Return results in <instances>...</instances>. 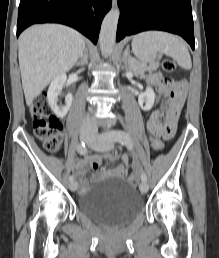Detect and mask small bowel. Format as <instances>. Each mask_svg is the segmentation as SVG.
Returning a JSON list of instances; mask_svg holds the SVG:
<instances>
[{
    "instance_id": "c3829d8e",
    "label": "small bowel",
    "mask_w": 219,
    "mask_h": 258,
    "mask_svg": "<svg viewBox=\"0 0 219 258\" xmlns=\"http://www.w3.org/2000/svg\"><path fill=\"white\" fill-rule=\"evenodd\" d=\"M148 81L156 85L164 94L170 98L168 111L165 112V105L159 104L156 112H151V117H166V118H146L145 126L148 127L149 134H160L165 140L172 139L179 112L184 103L186 95V85L182 82H172L164 78L160 73H152L148 77ZM123 162H119V155L116 153L105 156H87L77 160L74 166V173L79 178L81 190L84 192L89 187V181L84 177L88 170H97L102 161L117 162L116 170L107 171L108 175L115 174L116 179H127L128 173L125 171L128 157L120 156ZM127 170V169H126Z\"/></svg>"
}]
</instances>
